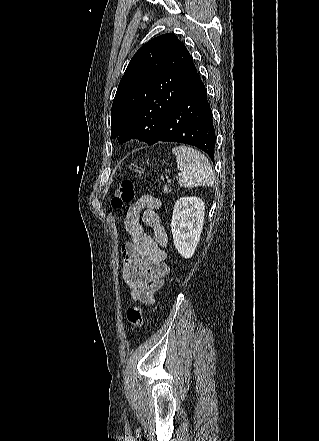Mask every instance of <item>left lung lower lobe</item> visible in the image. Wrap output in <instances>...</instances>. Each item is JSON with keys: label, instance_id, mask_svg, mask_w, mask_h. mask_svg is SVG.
Instances as JSON below:
<instances>
[{"label": "left lung lower lobe", "instance_id": "1", "mask_svg": "<svg viewBox=\"0 0 319 441\" xmlns=\"http://www.w3.org/2000/svg\"><path fill=\"white\" fill-rule=\"evenodd\" d=\"M215 140L207 90L196 72L149 145L158 141L185 143L203 150L214 161ZM118 142L124 141L119 137Z\"/></svg>", "mask_w": 319, "mask_h": 441}]
</instances>
